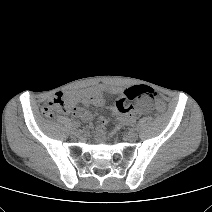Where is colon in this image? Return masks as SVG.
Instances as JSON below:
<instances>
[{"instance_id":"1","label":"colon","mask_w":212,"mask_h":212,"mask_svg":"<svg viewBox=\"0 0 212 212\" xmlns=\"http://www.w3.org/2000/svg\"><path fill=\"white\" fill-rule=\"evenodd\" d=\"M128 99L147 98L155 103V107L159 112L166 111L165 103L158 97L157 93L148 86H133L126 90ZM69 108L68 102L61 96H55L48 104L42 108V114L45 117H53L56 113L64 112Z\"/></svg>"}]
</instances>
